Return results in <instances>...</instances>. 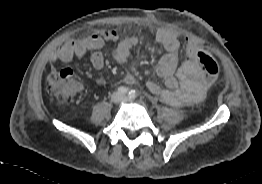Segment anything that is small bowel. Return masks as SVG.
<instances>
[{"instance_id": "obj_1", "label": "small bowel", "mask_w": 262, "mask_h": 184, "mask_svg": "<svg viewBox=\"0 0 262 184\" xmlns=\"http://www.w3.org/2000/svg\"><path fill=\"white\" fill-rule=\"evenodd\" d=\"M154 39L166 51L155 67V72L166 84L162 88L153 81H148L146 87L155 95L172 106H188L200 102L207 89L205 73L197 62V48L195 40H187L183 62L179 61V35L170 29H159ZM118 42L114 58L119 64L126 63L133 49L139 43L136 36L120 38L114 29H95L90 35L80 40H71L57 48L50 56V63L70 62L74 58H83L91 52V63L95 69H102L104 57L101 49L105 42ZM124 82L133 84L132 76H126Z\"/></svg>"}]
</instances>
